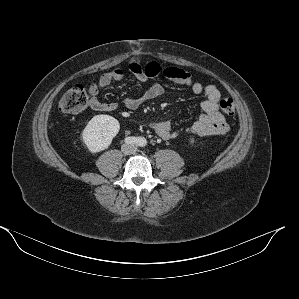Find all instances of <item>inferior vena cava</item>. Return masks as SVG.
Segmentation results:
<instances>
[{
  "instance_id": "602c4592",
  "label": "inferior vena cava",
  "mask_w": 299,
  "mask_h": 299,
  "mask_svg": "<svg viewBox=\"0 0 299 299\" xmlns=\"http://www.w3.org/2000/svg\"><path fill=\"white\" fill-rule=\"evenodd\" d=\"M137 151V147L135 145L132 144H124L122 146V152L125 155H130V154H134Z\"/></svg>"
}]
</instances>
